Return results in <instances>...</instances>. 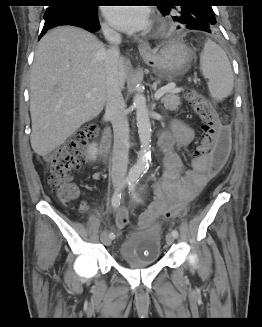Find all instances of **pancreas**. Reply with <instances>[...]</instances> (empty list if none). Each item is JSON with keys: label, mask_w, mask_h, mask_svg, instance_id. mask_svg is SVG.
<instances>
[{"label": "pancreas", "mask_w": 262, "mask_h": 327, "mask_svg": "<svg viewBox=\"0 0 262 327\" xmlns=\"http://www.w3.org/2000/svg\"><path fill=\"white\" fill-rule=\"evenodd\" d=\"M166 110L175 111L178 109V106L181 104L180 97L178 92L169 91L161 99Z\"/></svg>", "instance_id": "1"}]
</instances>
